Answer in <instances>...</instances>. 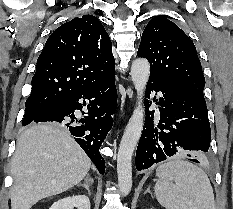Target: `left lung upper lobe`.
Instances as JSON below:
<instances>
[{
  "label": "left lung upper lobe",
  "mask_w": 233,
  "mask_h": 209,
  "mask_svg": "<svg viewBox=\"0 0 233 209\" xmlns=\"http://www.w3.org/2000/svg\"><path fill=\"white\" fill-rule=\"evenodd\" d=\"M137 55L150 62V75L183 87L205 102V79L196 48L175 23L161 16L152 18L143 31Z\"/></svg>",
  "instance_id": "left-lung-upper-lobe-1"
}]
</instances>
